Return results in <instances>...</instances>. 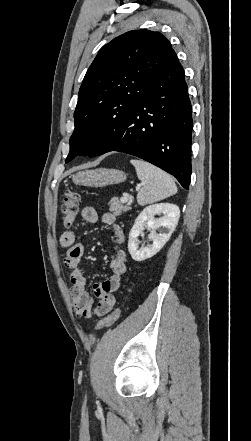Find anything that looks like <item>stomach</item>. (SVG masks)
I'll return each instance as SVG.
<instances>
[{"label":"stomach","instance_id":"0dacf381","mask_svg":"<svg viewBox=\"0 0 251 441\" xmlns=\"http://www.w3.org/2000/svg\"><path fill=\"white\" fill-rule=\"evenodd\" d=\"M126 177V173L118 169L97 168L80 171L72 180L76 185L98 188L124 182Z\"/></svg>","mask_w":251,"mask_h":441}]
</instances>
